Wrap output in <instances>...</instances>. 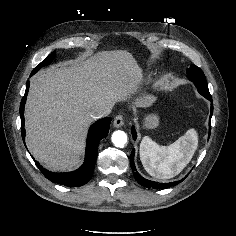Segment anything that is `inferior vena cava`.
<instances>
[{
    "instance_id": "602c4592",
    "label": "inferior vena cava",
    "mask_w": 236,
    "mask_h": 236,
    "mask_svg": "<svg viewBox=\"0 0 236 236\" xmlns=\"http://www.w3.org/2000/svg\"><path fill=\"white\" fill-rule=\"evenodd\" d=\"M110 112H111L110 106L101 104V105H96L92 107L89 111V115L92 118L96 119V118H102V117L108 116Z\"/></svg>"
}]
</instances>
